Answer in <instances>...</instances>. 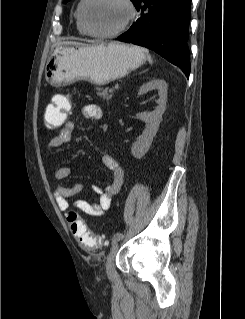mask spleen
Returning <instances> with one entry per match:
<instances>
[{"instance_id": "obj_1", "label": "spleen", "mask_w": 245, "mask_h": 319, "mask_svg": "<svg viewBox=\"0 0 245 319\" xmlns=\"http://www.w3.org/2000/svg\"><path fill=\"white\" fill-rule=\"evenodd\" d=\"M148 60H149V63L152 64L153 63V60L150 56H148Z\"/></svg>"}]
</instances>
